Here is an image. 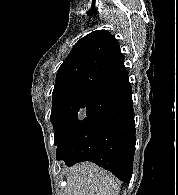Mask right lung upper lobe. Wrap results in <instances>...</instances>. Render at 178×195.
<instances>
[{
	"label": "right lung upper lobe",
	"instance_id": "1",
	"mask_svg": "<svg viewBox=\"0 0 178 195\" xmlns=\"http://www.w3.org/2000/svg\"><path fill=\"white\" fill-rule=\"evenodd\" d=\"M128 80L118 41L106 30L80 39L58 69L52 98L68 93L99 94Z\"/></svg>",
	"mask_w": 178,
	"mask_h": 195
}]
</instances>
